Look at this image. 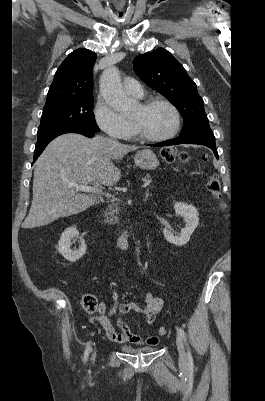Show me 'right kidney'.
Returning <instances> with one entry per match:
<instances>
[{"instance_id": "1", "label": "right kidney", "mask_w": 265, "mask_h": 401, "mask_svg": "<svg viewBox=\"0 0 265 401\" xmlns=\"http://www.w3.org/2000/svg\"><path fill=\"white\" fill-rule=\"evenodd\" d=\"M74 237H79V233L76 227H68L64 233H62L60 237V241L58 243V251L63 255L64 259L70 261V263H75L78 259H81L83 255L86 253L87 245L85 241H81V245L79 249L76 251H71L70 247L72 245L71 241Z\"/></svg>"}]
</instances>
